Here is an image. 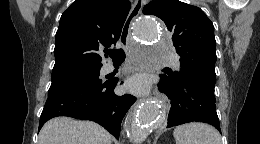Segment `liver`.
Returning <instances> with one entry per match:
<instances>
[{"instance_id":"liver-1","label":"liver","mask_w":260,"mask_h":144,"mask_svg":"<svg viewBox=\"0 0 260 144\" xmlns=\"http://www.w3.org/2000/svg\"><path fill=\"white\" fill-rule=\"evenodd\" d=\"M39 144H112V136L97 123L56 117L42 127Z\"/></svg>"}]
</instances>
